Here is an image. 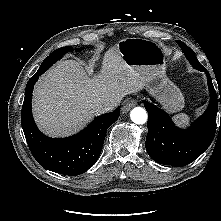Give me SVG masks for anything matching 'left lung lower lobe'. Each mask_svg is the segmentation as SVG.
I'll use <instances>...</instances> for the list:
<instances>
[{"label":"left lung lower lobe","mask_w":221,"mask_h":221,"mask_svg":"<svg viewBox=\"0 0 221 221\" xmlns=\"http://www.w3.org/2000/svg\"><path fill=\"white\" fill-rule=\"evenodd\" d=\"M194 68L206 73L211 98L207 110L189 128L176 127L167 113L152 103L143 101L148 112L146 150L160 164L175 167L187 165L196 160L214 138L219 99L208 71L202 65ZM219 95L221 104L220 90Z\"/></svg>","instance_id":"obj_1"}]
</instances>
